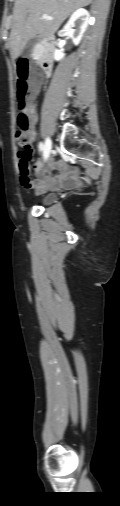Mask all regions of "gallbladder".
I'll return each mask as SVG.
<instances>
[{
    "label": "gallbladder",
    "mask_w": 120,
    "mask_h": 506,
    "mask_svg": "<svg viewBox=\"0 0 120 506\" xmlns=\"http://www.w3.org/2000/svg\"><path fill=\"white\" fill-rule=\"evenodd\" d=\"M39 42V37H35L33 38L30 43L28 44V46L26 47V49L24 50L23 52V56L24 57H31L32 53H33V50H34V47L35 45Z\"/></svg>",
    "instance_id": "1"
}]
</instances>
